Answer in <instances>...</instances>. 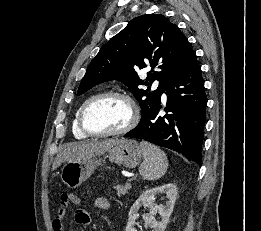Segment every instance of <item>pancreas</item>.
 I'll return each instance as SVG.
<instances>
[{
    "label": "pancreas",
    "mask_w": 261,
    "mask_h": 231,
    "mask_svg": "<svg viewBox=\"0 0 261 231\" xmlns=\"http://www.w3.org/2000/svg\"><path fill=\"white\" fill-rule=\"evenodd\" d=\"M114 189H116L117 195L120 197L122 195L127 194L128 190L131 189V186L130 185H125V186H123V185H116V186H114Z\"/></svg>",
    "instance_id": "1"
}]
</instances>
